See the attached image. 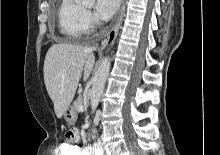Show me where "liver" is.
Listing matches in <instances>:
<instances>
[{
	"instance_id": "obj_1",
	"label": "liver",
	"mask_w": 220,
	"mask_h": 155,
	"mask_svg": "<svg viewBox=\"0 0 220 155\" xmlns=\"http://www.w3.org/2000/svg\"><path fill=\"white\" fill-rule=\"evenodd\" d=\"M94 62L92 49L85 46L58 43L49 48L44 61V82L57 118L71 104L82 74L84 81L89 78Z\"/></svg>"
}]
</instances>
